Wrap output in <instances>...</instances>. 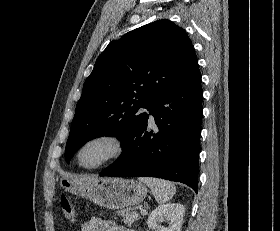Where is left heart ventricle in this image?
I'll return each mask as SVG.
<instances>
[{"label":"left heart ventricle","instance_id":"obj_1","mask_svg":"<svg viewBox=\"0 0 280 231\" xmlns=\"http://www.w3.org/2000/svg\"><path fill=\"white\" fill-rule=\"evenodd\" d=\"M117 150L116 143L109 138H98L87 143L79 157L80 165L92 169L105 163Z\"/></svg>","mask_w":280,"mask_h":231}]
</instances>
